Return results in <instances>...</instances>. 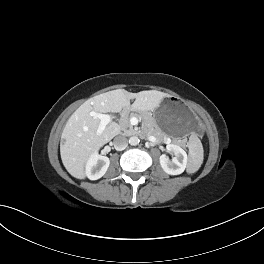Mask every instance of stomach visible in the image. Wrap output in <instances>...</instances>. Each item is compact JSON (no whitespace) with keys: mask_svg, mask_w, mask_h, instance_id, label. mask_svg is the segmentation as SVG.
I'll list each match as a JSON object with an SVG mask.
<instances>
[{"mask_svg":"<svg viewBox=\"0 0 264 264\" xmlns=\"http://www.w3.org/2000/svg\"><path fill=\"white\" fill-rule=\"evenodd\" d=\"M153 120L161 131L174 136H201L205 132L204 123L176 97L166 98L162 107L154 111Z\"/></svg>","mask_w":264,"mask_h":264,"instance_id":"obj_1","label":"stomach"}]
</instances>
